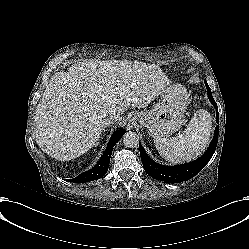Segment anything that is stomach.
<instances>
[{
	"mask_svg": "<svg viewBox=\"0 0 249 249\" xmlns=\"http://www.w3.org/2000/svg\"><path fill=\"white\" fill-rule=\"evenodd\" d=\"M188 94L182 86H170L160 93L159 102L151 110L136 112L133 118L146 128L150 137L168 136L178 131L184 121Z\"/></svg>",
	"mask_w": 249,
	"mask_h": 249,
	"instance_id": "stomach-1",
	"label": "stomach"
}]
</instances>
